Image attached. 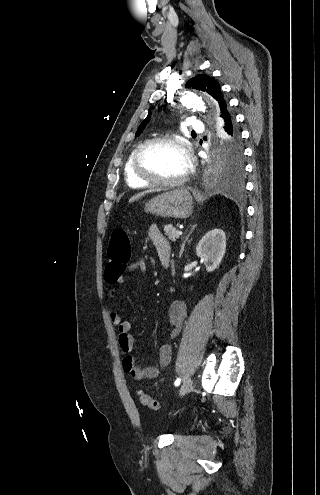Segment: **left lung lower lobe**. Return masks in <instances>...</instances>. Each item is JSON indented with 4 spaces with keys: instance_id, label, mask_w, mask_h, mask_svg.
<instances>
[{
    "instance_id": "0a47b994",
    "label": "left lung lower lobe",
    "mask_w": 320,
    "mask_h": 495,
    "mask_svg": "<svg viewBox=\"0 0 320 495\" xmlns=\"http://www.w3.org/2000/svg\"><path fill=\"white\" fill-rule=\"evenodd\" d=\"M235 125V120L233 115L229 112V110L224 111L218 119V126L220 133L222 132H230L231 129Z\"/></svg>"
}]
</instances>
